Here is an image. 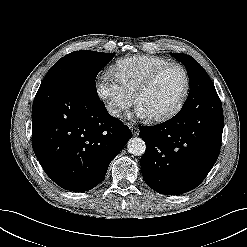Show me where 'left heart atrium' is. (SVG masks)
<instances>
[{"mask_svg":"<svg viewBox=\"0 0 247 247\" xmlns=\"http://www.w3.org/2000/svg\"><path fill=\"white\" fill-rule=\"evenodd\" d=\"M137 114L142 117H148L149 115L140 106L137 107Z\"/></svg>","mask_w":247,"mask_h":247,"instance_id":"1","label":"left heart atrium"}]
</instances>
